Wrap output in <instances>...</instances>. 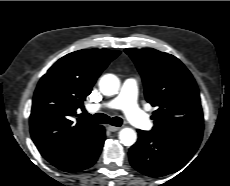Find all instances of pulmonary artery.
<instances>
[{
  "label": "pulmonary artery",
  "mask_w": 230,
  "mask_h": 186,
  "mask_svg": "<svg viewBox=\"0 0 230 186\" xmlns=\"http://www.w3.org/2000/svg\"><path fill=\"white\" fill-rule=\"evenodd\" d=\"M136 97L137 81L130 78L124 81L118 96L107 102L92 104L89 106V109L91 111H99L105 108L122 109L128 120L135 127L142 130H149L152 127V122L138 107Z\"/></svg>",
  "instance_id": "obj_1"
}]
</instances>
